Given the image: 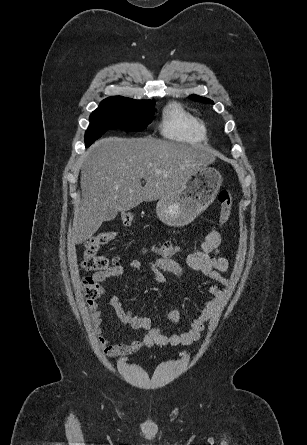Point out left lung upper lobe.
<instances>
[{"label": "left lung upper lobe", "instance_id": "left-lung-upper-lobe-1", "mask_svg": "<svg viewBox=\"0 0 307 445\" xmlns=\"http://www.w3.org/2000/svg\"><path fill=\"white\" fill-rule=\"evenodd\" d=\"M193 100H196V101H201V102H204V103H210V104H213V101L212 100H210V99H208V98H203V97H200V96H197V95H192V96H190Z\"/></svg>", "mask_w": 307, "mask_h": 445}]
</instances>
